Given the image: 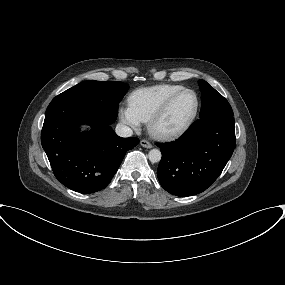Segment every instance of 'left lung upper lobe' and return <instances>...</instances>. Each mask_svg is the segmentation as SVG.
Listing matches in <instances>:
<instances>
[{
	"instance_id": "obj_1",
	"label": "left lung upper lobe",
	"mask_w": 285,
	"mask_h": 285,
	"mask_svg": "<svg viewBox=\"0 0 285 285\" xmlns=\"http://www.w3.org/2000/svg\"><path fill=\"white\" fill-rule=\"evenodd\" d=\"M198 83L202 91L200 118L216 113L233 114L230 104L219 92L206 81L199 80Z\"/></svg>"
}]
</instances>
